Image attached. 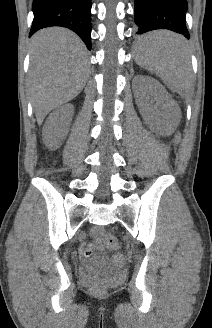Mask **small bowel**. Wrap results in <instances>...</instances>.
Returning a JSON list of instances; mask_svg holds the SVG:
<instances>
[{"label":"small bowel","mask_w":212,"mask_h":328,"mask_svg":"<svg viewBox=\"0 0 212 328\" xmlns=\"http://www.w3.org/2000/svg\"><path fill=\"white\" fill-rule=\"evenodd\" d=\"M95 235H98V230L95 231ZM92 251V247L84 251V254H89Z\"/></svg>","instance_id":"c3829d8e"}]
</instances>
